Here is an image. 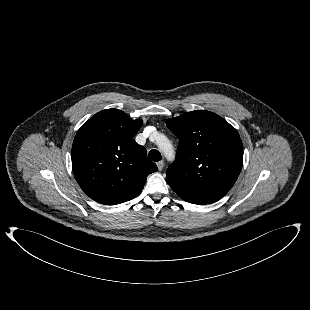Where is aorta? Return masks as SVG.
I'll use <instances>...</instances> for the list:
<instances>
[{
    "mask_svg": "<svg viewBox=\"0 0 310 310\" xmlns=\"http://www.w3.org/2000/svg\"><path fill=\"white\" fill-rule=\"evenodd\" d=\"M157 142H158L159 148L166 156L172 155L173 153L172 145L165 135L159 134Z\"/></svg>",
    "mask_w": 310,
    "mask_h": 310,
    "instance_id": "1",
    "label": "aorta"
}]
</instances>
